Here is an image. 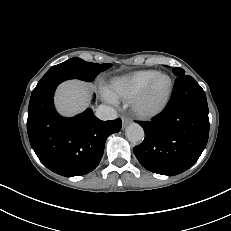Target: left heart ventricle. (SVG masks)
Segmentation results:
<instances>
[{
  "instance_id": "1",
  "label": "left heart ventricle",
  "mask_w": 231,
  "mask_h": 231,
  "mask_svg": "<svg viewBox=\"0 0 231 231\" xmlns=\"http://www.w3.org/2000/svg\"><path fill=\"white\" fill-rule=\"evenodd\" d=\"M166 87H167L166 78L164 77L158 78L152 93L151 101H156L157 99H159L165 92Z\"/></svg>"
}]
</instances>
